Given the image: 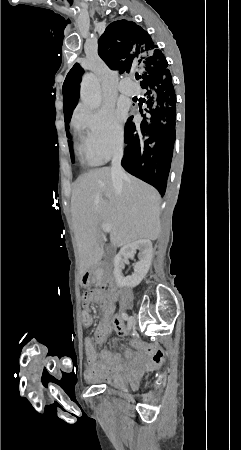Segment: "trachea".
Returning <instances> with one entry per match:
<instances>
[{"label": "trachea", "instance_id": "obj_1", "mask_svg": "<svg viewBox=\"0 0 241 450\" xmlns=\"http://www.w3.org/2000/svg\"><path fill=\"white\" fill-rule=\"evenodd\" d=\"M140 75L136 74V80H139Z\"/></svg>", "mask_w": 241, "mask_h": 450}]
</instances>
